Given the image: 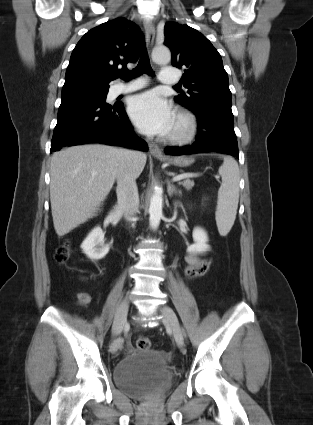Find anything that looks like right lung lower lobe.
Listing matches in <instances>:
<instances>
[{
    "label": "right lung lower lobe",
    "instance_id": "1",
    "mask_svg": "<svg viewBox=\"0 0 313 425\" xmlns=\"http://www.w3.org/2000/svg\"><path fill=\"white\" fill-rule=\"evenodd\" d=\"M105 100L88 89L63 90L50 152L85 143L147 151L146 142L134 134L123 104Z\"/></svg>",
    "mask_w": 313,
    "mask_h": 425
}]
</instances>
